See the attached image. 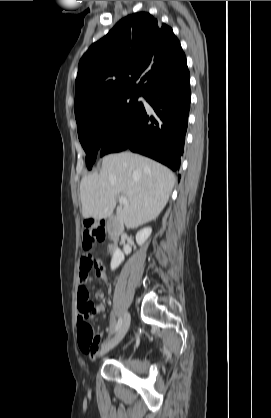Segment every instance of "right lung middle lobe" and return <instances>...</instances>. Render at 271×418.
<instances>
[{"label": "right lung middle lobe", "instance_id": "right-lung-middle-lobe-1", "mask_svg": "<svg viewBox=\"0 0 271 418\" xmlns=\"http://www.w3.org/2000/svg\"><path fill=\"white\" fill-rule=\"evenodd\" d=\"M141 94L127 92L76 115L79 140L86 152V165L92 168L107 136L128 120L143 104Z\"/></svg>", "mask_w": 271, "mask_h": 418}]
</instances>
